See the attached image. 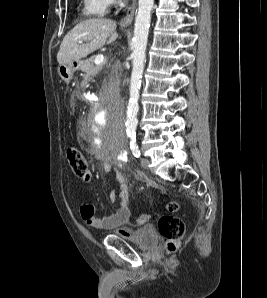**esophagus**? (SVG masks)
<instances>
[{"instance_id":"esophagus-1","label":"esophagus","mask_w":267,"mask_h":298,"mask_svg":"<svg viewBox=\"0 0 267 298\" xmlns=\"http://www.w3.org/2000/svg\"><path fill=\"white\" fill-rule=\"evenodd\" d=\"M136 9V0H133L132 4L129 6L125 16L121 19L120 24L122 26H129L134 18Z\"/></svg>"}]
</instances>
